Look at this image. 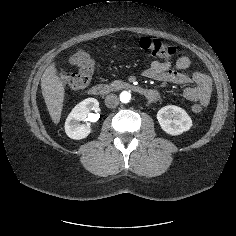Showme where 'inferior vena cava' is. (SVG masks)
<instances>
[{"label":"inferior vena cava","instance_id":"inferior-vena-cava-1","mask_svg":"<svg viewBox=\"0 0 236 236\" xmlns=\"http://www.w3.org/2000/svg\"><path fill=\"white\" fill-rule=\"evenodd\" d=\"M119 104V98L115 94H109L105 97V105L108 108H115Z\"/></svg>","mask_w":236,"mask_h":236}]
</instances>
